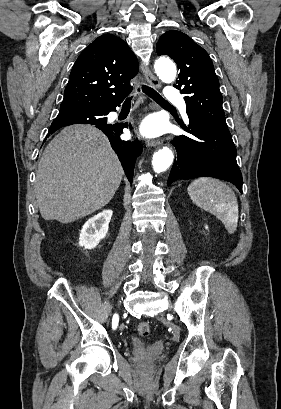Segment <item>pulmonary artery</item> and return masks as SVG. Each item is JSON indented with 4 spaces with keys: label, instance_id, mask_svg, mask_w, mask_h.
Segmentation results:
<instances>
[{
    "label": "pulmonary artery",
    "instance_id": "e3ab8cb5",
    "mask_svg": "<svg viewBox=\"0 0 281 409\" xmlns=\"http://www.w3.org/2000/svg\"><path fill=\"white\" fill-rule=\"evenodd\" d=\"M166 93L168 94L167 100L171 103H181L179 105L181 112L186 116V104L184 103V95L177 94V88L175 86H168L166 88ZM116 117V113L112 114Z\"/></svg>",
    "mask_w": 281,
    "mask_h": 409
}]
</instances>
